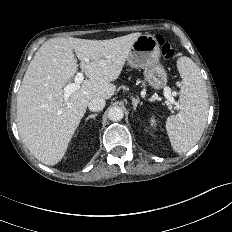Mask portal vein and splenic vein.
Instances as JSON below:
<instances>
[{"label": "portal vein and splenic vein", "instance_id": "portal-vein-and-splenic-vein-1", "mask_svg": "<svg viewBox=\"0 0 232 232\" xmlns=\"http://www.w3.org/2000/svg\"><path fill=\"white\" fill-rule=\"evenodd\" d=\"M87 61L88 59L85 60V62ZM83 80H84V74L82 72H78L75 76L74 83H69L63 88L65 101L68 100V98L73 92H75L80 88V84L83 82ZM164 96L171 104L178 106V102H176L175 98L171 93V89L169 87H166L164 89Z\"/></svg>", "mask_w": 232, "mask_h": 232}]
</instances>
